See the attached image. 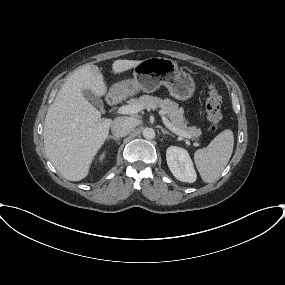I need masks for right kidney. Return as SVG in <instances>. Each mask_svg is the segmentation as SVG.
I'll use <instances>...</instances> for the list:
<instances>
[{"instance_id": "1", "label": "right kidney", "mask_w": 285, "mask_h": 285, "mask_svg": "<svg viewBox=\"0 0 285 285\" xmlns=\"http://www.w3.org/2000/svg\"><path fill=\"white\" fill-rule=\"evenodd\" d=\"M104 157H105V154L103 153L100 157V160H103Z\"/></svg>"}]
</instances>
